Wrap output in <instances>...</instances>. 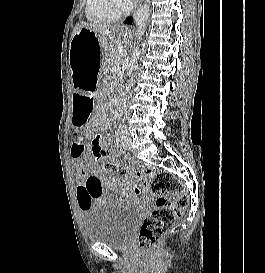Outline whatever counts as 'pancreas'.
Masks as SVG:
<instances>
[{"label":"pancreas","instance_id":"pancreas-1","mask_svg":"<svg viewBox=\"0 0 265 273\" xmlns=\"http://www.w3.org/2000/svg\"><path fill=\"white\" fill-rule=\"evenodd\" d=\"M124 52H120L119 49H112L106 56L102 63L103 74L111 73V69L114 66H118L121 62V57Z\"/></svg>","mask_w":265,"mask_h":273}]
</instances>
